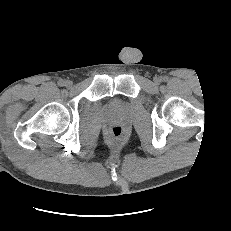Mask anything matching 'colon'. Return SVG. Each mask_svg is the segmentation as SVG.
Wrapping results in <instances>:
<instances>
[{
	"label": "colon",
	"instance_id": "1",
	"mask_svg": "<svg viewBox=\"0 0 231 231\" xmlns=\"http://www.w3.org/2000/svg\"><path fill=\"white\" fill-rule=\"evenodd\" d=\"M110 135L114 140H120L124 135V129L121 126H114L110 130Z\"/></svg>",
	"mask_w": 231,
	"mask_h": 231
}]
</instances>
